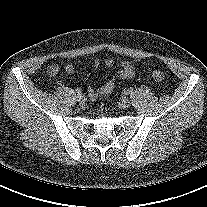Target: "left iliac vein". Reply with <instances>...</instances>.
Instances as JSON below:
<instances>
[{
    "label": "left iliac vein",
    "instance_id": "obj_1",
    "mask_svg": "<svg viewBox=\"0 0 207 207\" xmlns=\"http://www.w3.org/2000/svg\"><path fill=\"white\" fill-rule=\"evenodd\" d=\"M130 105V100L128 98H123L120 102H119V107L121 109H126L128 108Z\"/></svg>",
    "mask_w": 207,
    "mask_h": 207
}]
</instances>
